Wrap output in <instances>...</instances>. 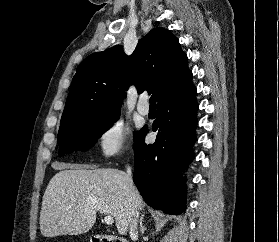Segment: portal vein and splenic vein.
<instances>
[{
	"mask_svg": "<svg viewBox=\"0 0 279 242\" xmlns=\"http://www.w3.org/2000/svg\"><path fill=\"white\" fill-rule=\"evenodd\" d=\"M104 222L107 224V225H112L114 223V220H113V217L110 216V215H106L104 217Z\"/></svg>",
	"mask_w": 279,
	"mask_h": 242,
	"instance_id": "portal-vein-and-splenic-vein-1",
	"label": "portal vein and splenic vein"
}]
</instances>
